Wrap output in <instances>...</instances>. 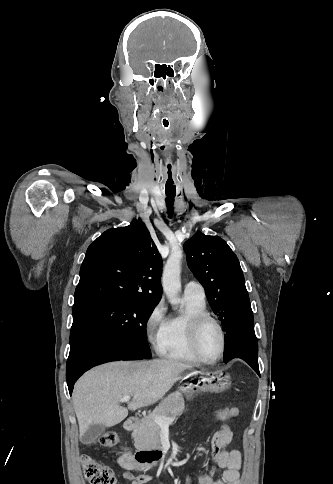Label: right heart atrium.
Returning a JSON list of instances; mask_svg holds the SVG:
<instances>
[{"instance_id": "right-heart-atrium-1", "label": "right heart atrium", "mask_w": 333, "mask_h": 484, "mask_svg": "<svg viewBox=\"0 0 333 484\" xmlns=\"http://www.w3.org/2000/svg\"><path fill=\"white\" fill-rule=\"evenodd\" d=\"M165 321V305L163 301H159L149 312L144 325L148 342L157 350L161 344Z\"/></svg>"}]
</instances>
